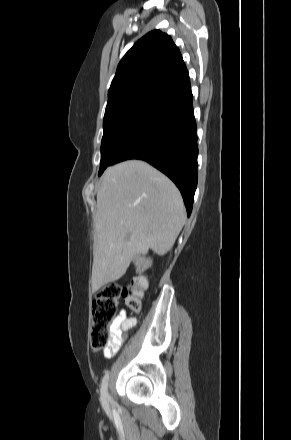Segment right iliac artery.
<instances>
[{
	"label": "right iliac artery",
	"instance_id": "82829eb1",
	"mask_svg": "<svg viewBox=\"0 0 291 440\" xmlns=\"http://www.w3.org/2000/svg\"><path fill=\"white\" fill-rule=\"evenodd\" d=\"M108 382H109V372H107L105 374V376L102 379V383H101V402L103 405L104 410L109 414L110 413V409H109V405H108Z\"/></svg>",
	"mask_w": 291,
	"mask_h": 440
}]
</instances>
